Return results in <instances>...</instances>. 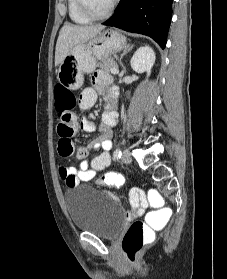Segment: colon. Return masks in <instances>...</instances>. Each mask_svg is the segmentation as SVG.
Here are the masks:
<instances>
[{
  "label": "colon",
  "instance_id": "colon-1",
  "mask_svg": "<svg viewBox=\"0 0 227 279\" xmlns=\"http://www.w3.org/2000/svg\"><path fill=\"white\" fill-rule=\"evenodd\" d=\"M76 105L75 94L66 89L65 87L57 88V99L55 110L60 121L59 131L61 135L65 138H69L73 133L72 127V111ZM67 151L66 154H70V145L66 144ZM98 183L102 186L110 187L123 186L125 183V177L121 172H109L102 175L98 179ZM71 186L76 185L74 179L71 180ZM135 194L139 197H144V191H136ZM147 194L151 197L153 202L163 203L164 196L155 191L148 190ZM172 216V210L170 208H160L155 212H150L147 217L152 221H157L159 219L168 220ZM153 234V229L151 226L143 221H134L127 230V233L123 241V250L127 259L134 263L136 258L144 244V242L149 239Z\"/></svg>",
  "mask_w": 227,
  "mask_h": 279
}]
</instances>
